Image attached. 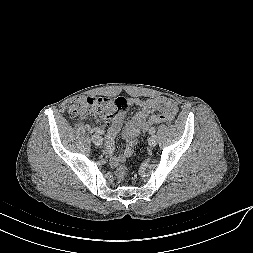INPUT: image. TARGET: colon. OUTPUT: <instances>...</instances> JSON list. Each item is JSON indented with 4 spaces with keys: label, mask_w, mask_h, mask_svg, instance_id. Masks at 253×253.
<instances>
[{
    "label": "colon",
    "mask_w": 253,
    "mask_h": 253,
    "mask_svg": "<svg viewBox=\"0 0 253 253\" xmlns=\"http://www.w3.org/2000/svg\"><path fill=\"white\" fill-rule=\"evenodd\" d=\"M128 107L127 101L122 98H107L96 96H82L74 100L69 106V112L75 117H94L99 116L109 126L116 117L126 112ZM174 116L162 115L152 118L144 127L145 133L149 126L161 122H171ZM127 174V168L120 166L116 170V177L119 181H124Z\"/></svg>",
    "instance_id": "obj_1"
}]
</instances>
